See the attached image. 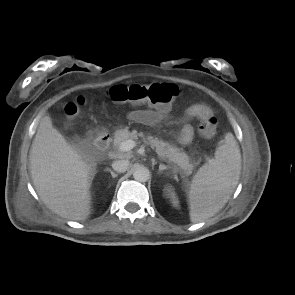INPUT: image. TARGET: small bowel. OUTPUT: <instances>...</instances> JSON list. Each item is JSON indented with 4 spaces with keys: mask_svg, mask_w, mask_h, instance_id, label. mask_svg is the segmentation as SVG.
<instances>
[{
    "mask_svg": "<svg viewBox=\"0 0 295 295\" xmlns=\"http://www.w3.org/2000/svg\"><path fill=\"white\" fill-rule=\"evenodd\" d=\"M169 116L168 110H133L127 114V118L136 123L147 126H157ZM213 116L212 109L203 103L192 105L186 113V122L178 134V141L183 145H188L194 136V128L191 124L192 120H204Z\"/></svg>",
    "mask_w": 295,
    "mask_h": 295,
    "instance_id": "1",
    "label": "small bowel"
}]
</instances>
